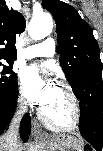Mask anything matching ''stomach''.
<instances>
[{"label": "stomach", "instance_id": "1", "mask_svg": "<svg viewBox=\"0 0 103 151\" xmlns=\"http://www.w3.org/2000/svg\"><path fill=\"white\" fill-rule=\"evenodd\" d=\"M48 151H85L87 146L79 136L57 135L44 143Z\"/></svg>", "mask_w": 103, "mask_h": 151}]
</instances>
